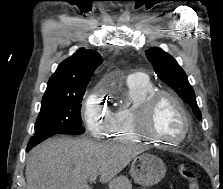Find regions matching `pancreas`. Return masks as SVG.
<instances>
[{
  "label": "pancreas",
  "mask_w": 223,
  "mask_h": 189,
  "mask_svg": "<svg viewBox=\"0 0 223 189\" xmlns=\"http://www.w3.org/2000/svg\"><path fill=\"white\" fill-rule=\"evenodd\" d=\"M123 183L122 187L123 188H127V189H130L131 188V184L130 182L127 180V178L125 177H119L117 180H116V183L115 184H121Z\"/></svg>",
  "instance_id": "cf45deb5"
}]
</instances>
